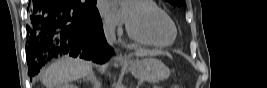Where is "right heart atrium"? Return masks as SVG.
<instances>
[{
    "instance_id": "obj_1",
    "label": "right heart atrium",
    "mask_w": 267,
    "mask_h": 88,
    "mask_svg": "<svg viewBox=\"0 0 267 88\" xmlns=\"http://www.w3.org/2000/svg\"><path fill=\"white\" fill-rule=\"evenodd\" d=\"M104 30H105L106 34L112 35L114 33L115 28H114V25L112 23L107 21L104 23Z\"/></svg>"
}]
</instances>
